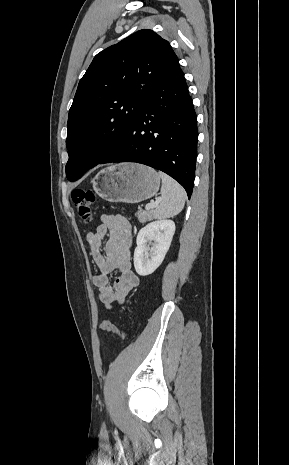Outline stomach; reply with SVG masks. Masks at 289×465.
Here are the masks:
<instances>
[{
    "instance_id": "0dacf381",
    "label": "stomach",
    "mask_w": 289,
    "mask_h": 465,
    "mask_svg": "<svg viewBox=\"0 0 289 465\" xmlns=\"http://www.w3.org/2000/svg\"><path fill=\"white\" fill-rule=\"evenodd\" d=\"M93 189L104 200L116 203H139L159 190L158 173L145 165L120 163L99 171L92 180Z\"/></svg>"
}]
</instances>
